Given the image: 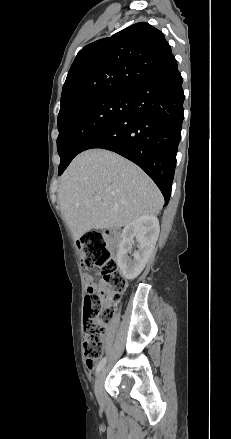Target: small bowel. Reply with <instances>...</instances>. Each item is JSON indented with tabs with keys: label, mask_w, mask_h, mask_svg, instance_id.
Returning a JSON list of instances; mask_svg holds the SVG:
<instances>
[{
	"label": "small bowel",
	"mask_w": 231,
	"mask_h": 439,
	"mask_svg": "<svg viewBox=\"0 0 231 439\" xmlns=\"http://www.w3.org/2000/svg\"><path fill=\"white\" fill-rule=\"evenodd\" d=\"M87 281H88L87 292H90V291L97 289V286L91 282L89 277H88Z\"/></svg>",
	"instance_id": "obj_1"
}]
</instances>
